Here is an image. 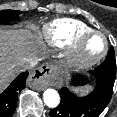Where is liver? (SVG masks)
Here are the masks:
<instances>
[{
    "mask_svg": "<svg viewBox=\"0 0 117 117\" xmlns=\"http://www.w3.org/2000/svg\"><path fill=\"white\" fill-rule=\"evenodd\" d=\"M38 41L27 30H0V92L19 74V65L37 59Z\"/></svg>",
    "mask_w": 117,
    "mask_h": 117,
    "instance_id": "liver-1",
    "label": "liver"
}]
</instances>
